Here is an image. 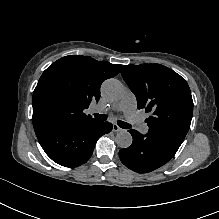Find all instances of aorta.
Here are the masks:
<instances>
[{
    "label": "aorta",
    "instance_id": "obj_1",
    "mask_svg": "<svg viewBox=\"0 0 219 219\" xmlns=\"http://www.w3.org/2000/svg\"><path fill=\"white\" fill-rule=\"evenodd\" d=\"M124 91L123 84L114 78L108 79L103 82L101 86V92L102 94L111 100H115L121 97L122 93ZM132 135L127 131H120L116 135V144L120 148H128L132 144Z\"/></svg>",
    "mask_w": 219,
    "mask_h": 219
}]
</instances>
